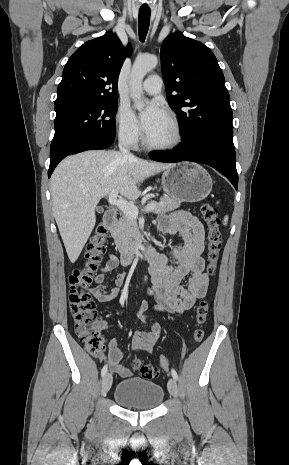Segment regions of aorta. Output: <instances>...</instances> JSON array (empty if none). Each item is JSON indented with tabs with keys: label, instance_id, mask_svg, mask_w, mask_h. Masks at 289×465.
I'll return each instance as SVG.
<instances>
[{
	"label": "aorta",
	"instance_id": "obj_1",
	"mask_svg": "<svg viewBox=\"0 0 289 465\" xmlns=\"http://www.w3.org/2000/svg\"><path fill=\"white\" fill-rule=\"evenodd\" d=\"M157 64L158 58L154 55L139 56L134 61L130 78V93L138 110L143 107L141 103L143 97L142 81L145 75L154 69Z\"/></svg>",
	"mask_w": 289,
	"mask_h": 465
}]
</instances>
